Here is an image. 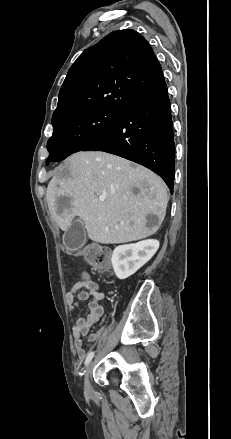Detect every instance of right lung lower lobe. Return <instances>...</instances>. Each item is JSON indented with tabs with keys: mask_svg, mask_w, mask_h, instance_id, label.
I'll return each mask as SVG.
<instances>
[{
	"mask_svg": "<svg viewBox=\"0 0 231 439\" xmlns=\"http://www.w3.org/2000/svg\"><path fill=\"white\" fill-rule=\"evenodd\" d=\"M83 151H104L141 164L173 192L175 144L167 86L131 103L119 121Z\"/></svg>",
	"mask_w": 231,
	"mask_h": 439,
	"instance_id": "98d812e1",
	"label": "right lung lower lobe"
}]
</instances>
